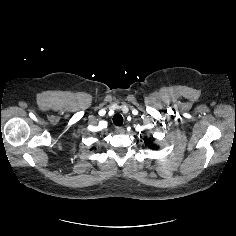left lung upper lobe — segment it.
I'll return each instance as SVG.
<instances>
[{"label":"left lung upper lobe","mask_w":236,"mask_h":236,"mask_svg":"<svg viewBox=\"0 0 236 236\" xmlns=\"http://www.w3.org/2000/svg\"><path fill=\"white\" fill-rule=\"evenodd\" d=\"M146 141H148V140H146ZM153 149H156L157 148V146H155V145H152L151 146Z\"/></svg>","instance_id":"left-lung-upper-lobe-1"}]
</instances>
